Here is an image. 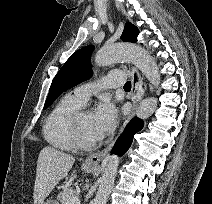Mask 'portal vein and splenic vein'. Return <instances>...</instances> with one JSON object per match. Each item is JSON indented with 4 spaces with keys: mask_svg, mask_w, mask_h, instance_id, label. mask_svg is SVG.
<instances>
[{
    "mask_svg": "<svg viewBox=\"0 0 212 204\" xmlns=\"http://www.w3.org/2000/svg\"><path fill=\"white\" fill-rule=\"evenodd\" d=\"M67 204H80V199L78 197L70 198Z\"/></svg>",
    "mask_w": 212,
    "mask_h": 204,
    "instance_id": "portal-vein-and-splenic-vein-1",
    "label": "portal vein and splenic vein"
}]
</instances>
